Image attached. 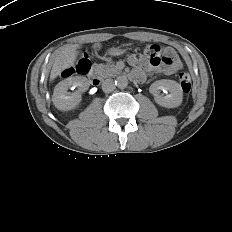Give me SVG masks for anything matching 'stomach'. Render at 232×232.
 <instances>
[{
    "instance_id": "0dacf381",
    "label": "stomach",
    "mask_w": 232,
    "mask_h": 232,
    "mask_svg": "<svg viewBox=\"0 0 232 232\" xmlns=\"http://www.w3.org/2000/svg\"><path fill=\"white\" fill-rule=\"evenodd\" d=\"M125 53V51L124 50H122V49H120V48H111V49H109V51H108V54L110 55V56H122L123 54Z\"/></svg>"
}]
</instances>
